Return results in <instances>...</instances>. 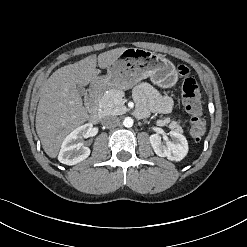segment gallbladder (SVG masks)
I'll return each instance as SVG.
<instances>
[{
  "instance_id": "gallbladder-1",
  "label": "gallbladder",
  "mask_w": 247,
  "mask_h": 247,
  "mask_svg": "<svg viewBox=\"0 0 247 247\" xmlns=\"http://www.w3.org/2000/svg\"><path fill=\"white\" fill-rule=\"evenodd\" d=\"M77 90H78V93L80 94V95H85V88L83 87V86H78L77 87Z\"/></svg>"
}]
</instances>
